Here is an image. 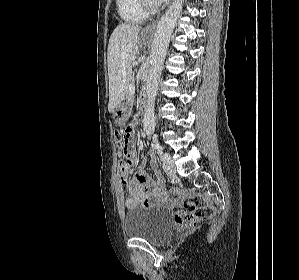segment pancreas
Wrapping results in <instances>:
<instances>
[{
    "label": "pancreas",
    "mask_w": 299,
    "mask_h": 280,
    "mask_svg": "<svg viewBox=\"0 0 299 280\" xmlns=\"http://www.w3.org/2000/svg\"><path fill=\"white\" fill-rule=\"evenodd\" d=\"M133 83H134V81H133V79L131 78L128 87L130 88V86L133 85ZM127 97H128V98H131V95L129 94V92H128V96H127Z\"/></svg>",
    "instance_id": "1"
}]
</instances>
